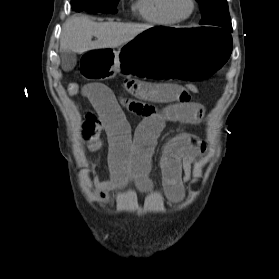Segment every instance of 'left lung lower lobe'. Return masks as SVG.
Listing matches in <instances>:
<instances>
[{
  "mask_svg": "<svg viewBox=\"0 0 279 279\" xmlns=\"http://www.w3.org/2000/svg\"><path fill=\"white\" fill-rule=\"evenodd\" d=\"M222 30H224V31H226V30H229V31H233L232 30V25H229V26H227V27H224V29H222ZM227 32V31H226Z\"/></svg>",
  "mask_w": 279,
  "mask_h": 279,
  "instance_id": "left-lung-lower-lobe-1",
  "label": "left lung lower lobe"
}]
</instances>
